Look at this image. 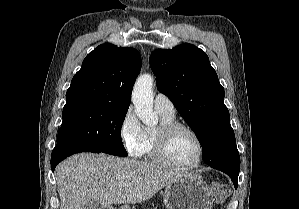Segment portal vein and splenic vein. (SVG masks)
Wrapping results in <instances>:
<instances>
[{
    "instance_id": "obj_1",
    "label": "portal vein and splenic vein",
    "mask_w": 299,
    "mask_h": 209,
    "mask_svg": "<svg viewBox=\"0 0 299 209\" xmlns=\"http://www.w3.org/2000/svg\"><path fill=\"white\" fill-rule=\"evenodd\" d=\"M126 185V183L125 182H122L121 184H120V187H123V186H125Z\"/></svg>"
}]
</instances>
